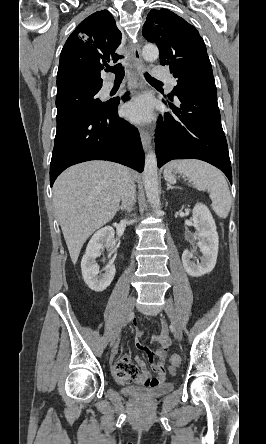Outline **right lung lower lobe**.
Here are the masks:
<instances>
[{
    "instance_id": "1",
    "label": "right lung lower lobe",
    "mask_w": 266,
    "mask_h": 444,
    "mask_svg": "<svg viewBox=\"0 0 266 444\" xmlns=\"http://www.w3.org/2000/svg\"><path fill=\"white\" fill-rule=\"evenodd\" d=\"M118 104L119 100L109 102L100 113L76 119L56 131L50 163L51 187L66 168L89 160L113 161L143 171L145 156L139 132L119 118Z\"/></svg>"
}]
</instances>
